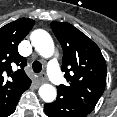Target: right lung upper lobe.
<instances>
[{"mask_svg":"<svg viewBox=\"0 0 117 117\" xmlns=\"http://www.w3.org/2000/svg\"><path fill=\"white\" fill-rule=\"evenodd\" d=\"M34 23L32 19L20 18L0 28V116L30 87L31 80L24 72L26 59L18 53V45ZM14 65L21 69L13 72Z\"/></svg>","mask_w":117,"mask_h":117,"instance_id":"obj_1","label":"right lung upper lobe"}]
</instances>
